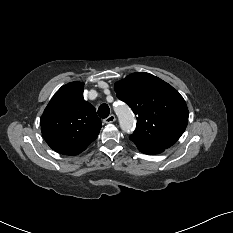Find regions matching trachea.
I'll return each mask as SVG.
<instances>
[{
    "label": "trachea",
    "instance_id": "trachea-1",
    "mask_svg": "<svg viewBox=\"0 0 233 233\" xmlns=\"http://www.w3.org/2000/svg\"><path fill=\"white\" fill-rule=\"evenodd\" d=\"M110 109L107 104H102L98 108V115L101 118H107L109 116Z\"/></svg>",
    "mask_w": 233,
    "mask_h": 233
}]
</instances>
